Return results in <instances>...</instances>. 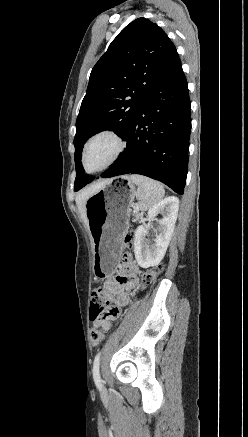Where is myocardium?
Instances as JSON below:
<instances>
[{"mask_svg": "<svg viewBox=\"0 0 248 437\" xmlns=\"http://www.w3.org/2000/svg\"><path fill=\"white\" fill-rule=\"evenodd\" d=\"M101 137L111 138L115 142L116 148H115L114 152L112 153V155L110 156V158L103 165H101L100 167H98L94 170H89L87 168V165H86V154H87L88 148L92 144V142H94L96 139L101 138ZM126 146H127L126 141L124 140L122 135L113 128H103V129H100V130L94 132L92 135H90L87 138V140L85 141V143L83 145V149H82V153H81V164H82L84 171L87 173H98V172H101V171L109 168L111 165H113L121 157V155L124 153V151L126 149Z\"/></svg>", "mask_w": 248, "mask_h": 437, "instance_id": "f54148a6", "label": "myocardium"}]
</instances>
